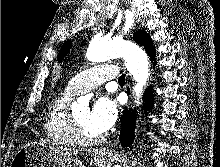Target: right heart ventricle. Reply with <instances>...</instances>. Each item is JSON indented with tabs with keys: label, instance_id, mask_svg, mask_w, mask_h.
I'll list each match as a JSON object with an SVG mask.
<instances>
[{
	"label": "right heart ventricle",
	"instance_id": "right-heart-ventricle-1",
	"mask_svg": "<svg viewBox=\"0 0 220 167\" xmlns=\"http://www.w3.org/2000/svg\"><path fill=\"white\" fill-rule=\"evenodd\" d=\"M74 95L66 89L55 95L47 107L43 125L44 133L58 145L73 146L76 144L72 135L69 109V103Z\"/></svg>",
	"mask_w": 220,
	"mask_h": 167
}]
</instances>
